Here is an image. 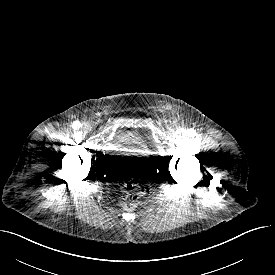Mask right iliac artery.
Returning a JSON list of instances; mask_svg holds the SVG:
<instances>
[{
	"mask_svg": "<svg viewBox=\"0 0 275 275\" xmlns=\"http://www.w3.org/2000/svg\"><path fill=\"white\" fill-rule=\"evenodd\" d=\"M80 126H82V125H81V123H80L79 121H75V122H73V124H72V127H73L74 129H78V128H80Z\"/></svg>",
	"mask_w": 275,
	"mask_h": 275,
	"instance_id": "82829eb1",
	"label": "right iliac artery"
}]
</instances>
